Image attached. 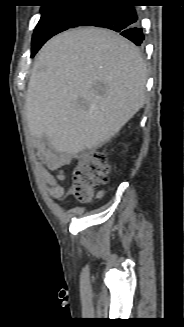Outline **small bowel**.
<instances>
[{
    "instance_id": "obj_1",
    "label": "small bowel",
    "mask_w": 184,
    "mask_h": 327,
    "mask_svg": "<svg viewBox=\"0 0 184 327\" xmlns=\"http://www.w3.org/2000/svg\"><path fill=\"white\" fill-rule=\"evenodd\" d=\"M38 155L41 162L47 166L45 168L41 163L38 165L42 178L50 186L48 194L54 199L61 200L65 195V188L62 185L65 175L61 168L72 163V156L67 153H59L53 149H40Z\"/></svg>"
}]
</instances>
